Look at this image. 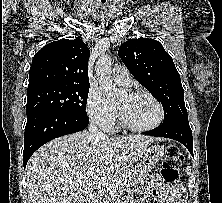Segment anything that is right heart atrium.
<instances>
[{
  "instance_id": "1",
  "label": "right heart atrium",
  "mask_w": 222,
  "mask_h": 203,
  "mask_svg": "<svg viewBox=\"0 0 222 203\" xmlns=\"http://www.w3.org/2000/svg\"><path fill=\"white\" fill-rule=\"evenodd\" d=\"M87 112L90 119L104 129H110L117 118L116 108L96 90L88 94Z\"/></svg>"
}]
</instances>
